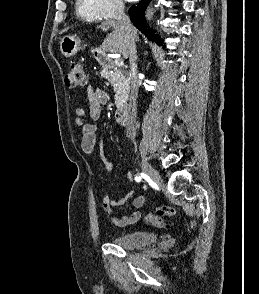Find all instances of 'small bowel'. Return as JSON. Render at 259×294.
Instances as JSON below:
<instances>
[{
    "label": "small bowel",
    "mask_w": 259,
    "mask_h": 294,
    "mask_svg": "<svg viewBox=\"0 0 259 294\" xmlns=\"http://www.w3.org/2000/svg\"><path fill=\"white\" fill-rule=\"evenodd\" d=\"M88 98V112L89 116L97 120L101 116L103 106L108 102V95L102 89H93L89 87L87 89ZM85 110L83 108H76L75 110V124L81 129V148L83 152L87 155H92L94 153L98 128L96 125L87 123L85 121ZM106 168L108 170H113L114 165L107 162ZM125 181L130 183L132 181L131 173H127L125 176ZM127 196H124L118 200L112 199L110 196L105 195L102 198V208L108 215L109 223L116 227H125L136 223L140 217V208L145 202V197L143 195H138L134 198L132 202L133 209L129 213L123 216H116L113 214V208L118 205H122L126 202Z\"/></svg>",
    "instance_id": "c3829d8e"
}]
</instances>
